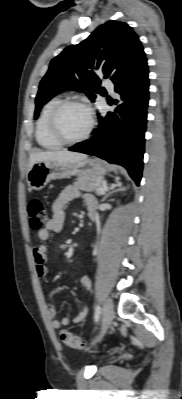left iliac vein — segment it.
I'll list each match as a JSON object with an SVG mask.
<instances>
[{"instance_id":"left-iliac-vein-1","label":"left iliac vein","mask_w":182,"mask_h":399,"mask_svg":"<svg viewBox=\"0 0 182 399\" xmlns=\"http://www.w3.org/2000/svg\"><path fill=\"white\" fill-rule=\"evenodd\" d=\"M113 318H114L113 303H112L110 298H107L106 301H105V304H104V309H103L102 327H101L100 333L94 339L93 343L99 341L104 336V334L106 333V331L110 327Z\"/></svg>"}]
</instances>
